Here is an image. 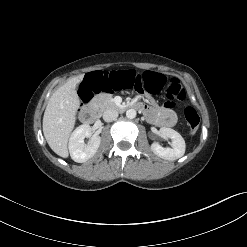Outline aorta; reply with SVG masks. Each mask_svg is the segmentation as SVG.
<instances>
[{
	"instance_id": "aorta-1",
	"label": "aorta",
	"mask_w": 247,
	"mask_h": 247,
	"mask_svg": "<svg viewBox=\"0 0 247 247\" xmlns=\"http://www.w3.org/2000/svg\"><path fill=\"white\" fill-rule=\"evenodd\" d=\"M126 117L129 119H133L136 117V110L135 109H129L126 111Z\"/></svg>"
}]
</instances>
